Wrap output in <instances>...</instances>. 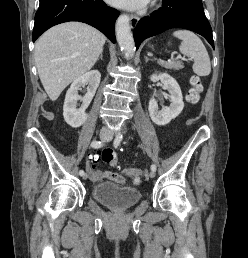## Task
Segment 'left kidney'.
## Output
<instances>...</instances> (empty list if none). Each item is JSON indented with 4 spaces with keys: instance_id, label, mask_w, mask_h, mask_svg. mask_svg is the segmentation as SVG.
Instances as JSON below:
<instances>
[{
    "instance_id": "left-kidney-1",
    "label": "left kidney",
    "mask_w": 248,
    "mask_h": 258,
    "mask_svg": "<svg viewBox=\"0 0 248 258\" xmlns=\"http://www.w3.org/2000/svg\"><path fill=\"white\" fill-rule=\"evenodd\" d=\"M150 80L152 82L161 81L164 88L170 93V106L162 111L158 110V104L154 97L149 101V115L151 120L159 126L167 125L172 119H175L184 108L181 89L177 81L167 73L153 74Z\"/></svg>"
}]
</instances>
